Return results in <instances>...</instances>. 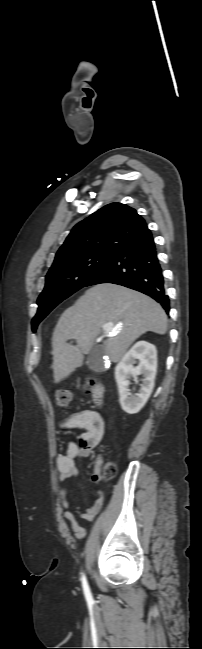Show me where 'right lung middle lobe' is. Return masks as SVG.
I'll return each instance as SVG.
<instances>
[{
  "label": "right lung middle lobe",
  "instance_id": "dd1d6c3e",
  "mask_svg": "<svg viewBox=\"0 0 202 649\" xmlns=\"http://www.w3.org/2000/svg\"><path fill=\"white\" fill-rule=\"evenodd\" d=\"M115 254L106 251H89L52 265L46 275L45 288L37 301L39 307L37 314L32 319L33 332L56 305L84 287L87 281Z\"/></svg>",
  "mask_w": 202,
  "mask_h": 649
}]
</instances>
